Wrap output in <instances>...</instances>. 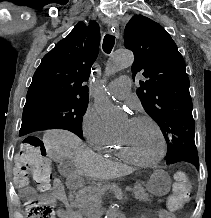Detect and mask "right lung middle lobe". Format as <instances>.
I'll use <instances>...</instances> for the list:
<instances>
[{
  "instance_id": "right-lung-middle-lobe-1",
  "label": "right lung middle lobe",
  "mask_w": 211,
  "mask_h": 218,
  "mask_svg": "<svg viewBox=\"0 0 211 218\" xmlns=\"http://www.w3.org/2000/svg\"><path fill=\"white\" fill-rule=\"evenodd\" d=\"M87 106L88 101L78 99L51 98L26 102L20 133L25 135L37 130L61 128L82 138V116Z\"/></svg>"
}]
</instances>
